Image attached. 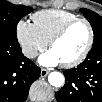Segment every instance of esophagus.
<instances>
[{
	"instance_id": "esophagus-1",
	"label": "esophagus",
	"mask_w": 102,
	"mask_h": 102,
	"mask_svg": "<svg viewBox=\"0 0 102 102\" xmlns=\"http://www.w3.org/2000/svg\"><path fill=\"white\" fill-rule=\"evenodd\" d=\"M48 74H49V70L45 68L41 69V73H40L41 77H46Z\"/></svg>"
}]
</instances>
